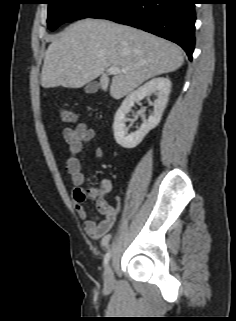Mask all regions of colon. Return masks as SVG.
<instances>
[{
  "label": "colon",
  "mask_w": 236,
  "mask_h": 321,
  "mask_svg": "<svg viewBox=\"0 0 236 321\" xmlns=\"http://www.w3.org/2000/svg\"><path fill=\"white\" fill-rule=\"evenodd\" d=\"M60 119L61 122L64 124H72L73 122H75L76 117L75 114L68 109H61L60 110ZM79 195L81 198H86V197H95L96 196V191L94 188H89L87 190H80L79 191Z\"/></svg>",
  "instance_id": "5ec220e1"
}]
</instances>
